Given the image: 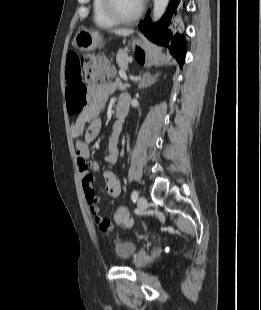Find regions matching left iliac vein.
Returning a JSON list of instances; mask_svg holds the SVG:
<instances>
[{
	"label": "left iliac vein",
	"mask_w": 261,
	"mask_h": 310,
	"mask_svg": "<svg viewBox=\"0 0 261 310\" xmlns=\"http://www.w3.org/2000/svg\"><path fill=\"white\" fill-rule=\"evenodd\" d=\"M138 209L144 211L147 208V200L145 197L140 196L137 200Z\"/></svg>",
	"instance_id": "left-iliac-vein-1"
}]
</instances>
